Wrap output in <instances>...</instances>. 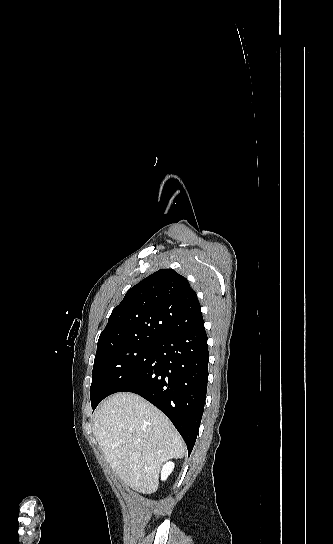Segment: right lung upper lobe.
<instances>
[{"label":"right lung upper lobe","instance_id":"cb5924a9","mask_svg":"<svg viewBox=\"0 0 333 544\" xmlns=\"http://www.w3.org/2000/svg\"><path fill=\"white\" fill-rule=\"evenodd\" d=\"M202 318L188 280L173 269H160L129 289L113 309L96 354L133 342L158 341Z\"/></svg>","mask_w":333,"mask_h":544}]
</instances>
